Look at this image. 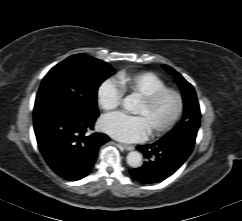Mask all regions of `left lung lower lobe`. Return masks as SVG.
<instances>
[{"label":"left lung lower lobe","instance_id":"1","mask_svg":"<svg viewBox=\"0 0 242 221\" xmlns=\"http://www.w3.org/2000/svg\"><path fill=\"white\" fill-rule=\"evenodd\" d=\"M196 136L163 137L159 141L138 146L146 162L131 169L132 177L142 184H153L174 174L186 161L195 145Z\"/></svg>","mask_w":242,"mask_h":221}]
</instances>
